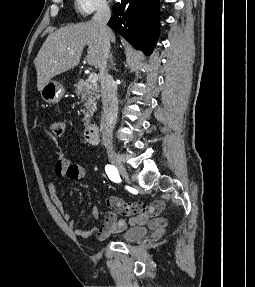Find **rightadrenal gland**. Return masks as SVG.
I'll return each mask as SVG.
<instances>
[{
  "mask_svg": "<svg viewBox=\"0 0 255 287\" xmlns=\"http://www.w3.org/2000/svg\"><path fill=\"white\" fill-rule=\"evenodd\" d=\"M110 64H113V54H110Z\"/></svg>",
  "mask_w": 255,
  "mask_h": 287,
  "instance_id": "right-adrenal-gland-1",
  "label": "right adrenal gland"
}]
</instances>
